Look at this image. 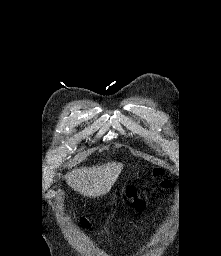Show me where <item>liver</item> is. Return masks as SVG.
Returning <instances> with one entry per match:
<instances>
[{
  "mask_svg": "<svg viewBox=\"0 0 221 256\" xmlns=\"http://www.w3.org/2000/svg\"><path fill=\"white\" fill-rule=\"evenodd\" d=\"M122 169L123 164L116 162L81 167L69 172L65 179L74 191L86 197L98 198L110 191Z\"/></svg>",
  "mask_w": 221,
  "mask_h": 256,
  "instance_id": "liver-1",
  "label": "liver"
}]
</instances>
